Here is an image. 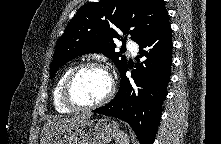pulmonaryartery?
Segmentation results:
<instances>
[{"label":"pulmonary artery","instance_id":"pulmonary-artery-1","mask_svg":"<svg viewBox=\"0 0 221 144\" xmlns=\"http://www.w3.org/2000/svg\"><path fill=\"white\" fill-rule=\"evenodd\" d=\"M127 48L131 51L133 55H136L138 52V45L134 41H128Z\"/></svg>","mask_w":221,"mask_h":144}]
</instances>
